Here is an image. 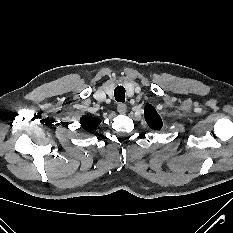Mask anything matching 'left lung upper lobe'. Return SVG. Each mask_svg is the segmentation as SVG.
Segmentation results:
<instances>
[{
	"label": "left lung upper lobe",
	"mask_w": 233,
	"mask_h": 233,
	"mask_svg": "<svg viewBox=\"0 0 233 233\" xmlns=\"http://www.w3.org/2000/svg\"><path fill=\"white\" fill-rule=\"evenodd\" d=\"M144 114L145 120L150 128L154 130H160L162 128L163 122L154 106H152L151 104H147L144 107Z\"/></svg>",
	"instance_id": "obj_1"
}]
</instances>
